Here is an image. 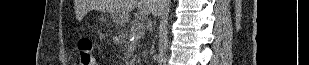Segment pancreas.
I'll list each match as a JSON object with an SVG mask.
<instances>
[{"mask_svg": "<svg viewBox=\"0 0 309 65\" xmlns=\"http://www.w3.org/2000/svg\"><path fill=\"white\" fill-rule=\"evenodd\" d=\"M142 24V21L139 20V19H135L134 21L131 22L130 24V30H129V35H132L134 34L136 31L139 30V36L142 37V33L141 31H143L145 29L142 30V29H139V25ZM138 44H140V40L137 42Z\"/></svg>", "mask_w": 309, "mask_h": 65, "instance_id": "obj_1", "label": "pancreas"}]
</instances>
